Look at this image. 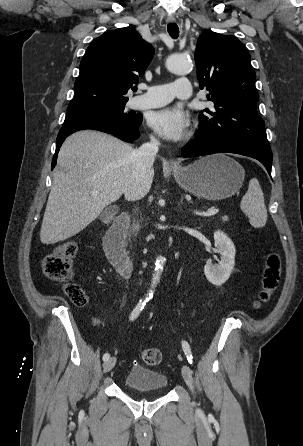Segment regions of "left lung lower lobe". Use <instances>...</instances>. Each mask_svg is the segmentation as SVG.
<instances>
[{
  "label": "left lung lower lobe",
  "mask_w": 303,
  "mask_h": 446,
  "mask_svg": "<svg viewBox=\"0 0 303 446\" xmlns=\"http://www.w3.org/2000/svg\"><path fill=\"white\" fill-rule=\"evenodd\" d=\"M196 139L182 148V157H197L214 153H235L259 160L271 176L272 151L268 143L238 140L228 136L213 138L199 132Z\"/></svg>",
  "instance_id": "obj_1"
}]
</instances>
